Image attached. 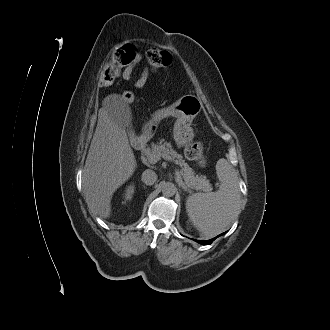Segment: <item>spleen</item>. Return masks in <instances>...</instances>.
Returning <instances> with one entry per match:
<instances>
[{
    "instance_id": "obj_1",
    "label": "spleen",
    "mask_w": 330,
    "mask_h": 330,
    "mask_svg": "<svg viewBox=\"0 0 330 330\" xmlns=\"http://www.w3.org/2000/svg\"><path fill=\"white\" fill-rule=\"evenodd\" d=\"M221 182L218 191L195 193L186 201L190 221L205 238L223 232L234 220L240 207L238 174L224 158L216 163Z\"/></svg>"
}]
</instances>
